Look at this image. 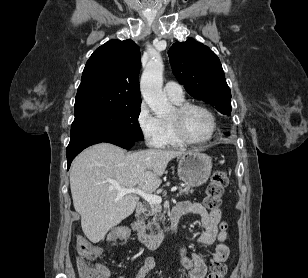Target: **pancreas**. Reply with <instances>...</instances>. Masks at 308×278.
<instances>
[{
	"instance_id": "obj_1",
	"label": "pancreas",
	"mask_w": 308,
	"mask_h": 278,
	"mask_svg": "<svg viewBox=\"0 0 308 278\" xmlns=\"http://www.w3.org/2000/svg\"><path fill=\"white\" fill-rule=\"evenodd\" d=\"M190 192V187H180L178 195L188 194ZM161 204L149 203L146 205V211L143 213L140 220V228L142 231L150 230L152 231L153 227L157 230H160L159 220L163 221V214Z\"/></svg>"
}]
</instances>
